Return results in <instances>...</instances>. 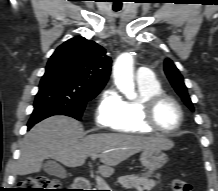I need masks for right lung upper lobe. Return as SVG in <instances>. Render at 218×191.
<instances>
[{"label":"right lung upper lobe","instance_id":"1","mask_svg":"<svg viewBox=\"0 0 218 191\" xmlns=\"http://www.w3.org/2000/svg\"><path fill=\"white\" fill-rule=\"evenodd\" d=\"M47 67L61 69L89 86L103 88L110 75L111 59L103 47L78 36L60 45Z\"/></svg>","mask_w":218,"mask_h":191}]
</instances>
